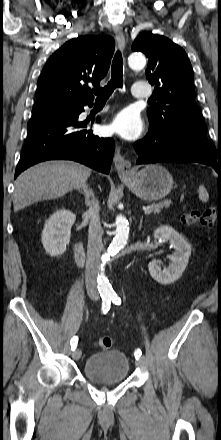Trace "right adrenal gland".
<instances>
[{
	"label": "right adrenal gland",
	"instance_id": "2a0ac1e0",
	"mask_svg": "<svg viewBox=\"0 0 221 440\" xmlns=\"http://www.w3.org/2000/svg\"><path fill=\"white\" fill-rule=\"evenodd\" d=\"M85 197V205L89 206L91 203V199L94 198V193L88 184L84 185L81 190H79Z\"/></svg>",
	"mask_w": 221,
	"mask_h": 440
}]
</instances>
